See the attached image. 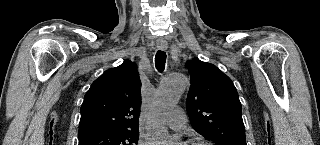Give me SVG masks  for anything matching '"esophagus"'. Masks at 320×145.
I'll list each match as a JSON object with an SVG mask.
<instances>
[{"mask_svg": "<svg viewBox=\"0 0 320 145\" xmlns=\"http://www.w3.org/2000/svg\"><path fill=\"white\" fill-rule=\"evenodd\" d=\"M156 44H157V47L161 50H166L168 47L167 41L164 39H158Z\"/></svg>", "mask_w": 320, "mask_h": 145, "instance_id": "esophagus-1", "label": "esophagus"}]
</instances>
